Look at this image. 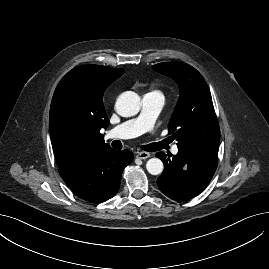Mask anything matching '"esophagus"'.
Returning <instances> with one entry per match:
<instances>
[{"instance_id":"34e87169","label":"esophagus","mask_w":269,"mask_h":269,"mask_svg":"<svg viewBox=\"0 0 269 269\" xmlns=\"http://www.w3.org/2000/svg\"><path fill=\"white\" fill-rule=\"evenodd\" d=\"M151 155H150V153H148V152H137L136 153V158H138V159H147V158H149Z\"/></svg>"}]
</instances>
